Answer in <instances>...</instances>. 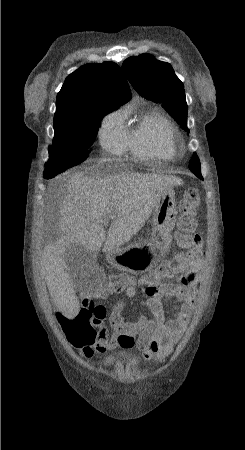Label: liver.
Here are the masks:
<instances>
[{
    "label": "liver",
    "instance_id": "1",
    "mask_svg": "<svg viewBox=\"0 0 245 450\" xmlns=\"http://www.w3.org/2000/svg\"><path fill=\"white\" fill-rule=\"evenodd\" d=\"M183 181L172 175L122 172L118 174H72L59 211L63 238L46 246L42 272L50 295L68 317L79 312L73 280L65 252L73 244L97 252L116 250L129 242L144 226L163 192ZM113 216L105 236L102 220Z\"/></svg>",
    "mask_w": 245,
    "mask_h": 450
}]
</instances>
